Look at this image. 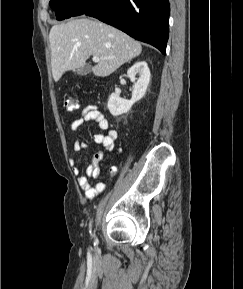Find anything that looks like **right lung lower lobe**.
<instances>
[{
	"label": "right lung lower lobe",
	"mask_w": 243,
	"mask_h": 289,
	"mask_svg": "<svg viewBox=\"0 0 243 289\" xmlns=\"http://www.w3.org/2000/svg\"><path fill=\"white\" fill-rule=\"evenodd\" d=\"M169 12V0H87L71 17H95L165 54Z\"/></svg>",
	"instance_id": "98d812e1"
}]
</instances>
